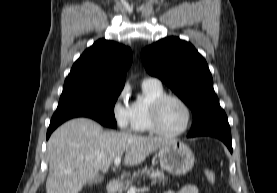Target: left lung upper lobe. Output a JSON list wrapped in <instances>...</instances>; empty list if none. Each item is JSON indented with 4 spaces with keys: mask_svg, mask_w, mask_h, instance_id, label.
<instances>
[{
    "mask_svg": "<svg viewBox=\"0 0 277 193\" xmlns=\"http://www.w3.org/2000/svg\"><path fill=\"white\" fill-rule=\"evenodd\" d=\"M141 59L150 75L161 79L190 107L191 131L226 117L214 92L208 65L192 44L168 37L146 47Z\"/></svg>",
    "mask_w": 277,
    "mask_h": 193,
    "instance_id": "obj_1",
    "label": "left lung upper lobe"
}]
</instances>
